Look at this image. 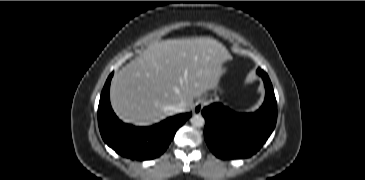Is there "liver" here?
Listing matches in <instances>:
<instances>
[{
    "mask_svg": "<svg viewBox=\"0 0 365 180\" xmlns=\"http://www.w3.org/2000/svg\"><path fill=\"white\" fill-rule=\"evenodd\" d=\"M232 59L225 46L210 37L154 42L116 73L110 99L127 123L150 125L173 115L180 102L193 100L217 86L222 64Z\"/></svg>",
    "mask_w": 365,
    "mask_h": 180,
    "instance_id": "6515ba94",
    "label": "liver"
}]
</instances>
